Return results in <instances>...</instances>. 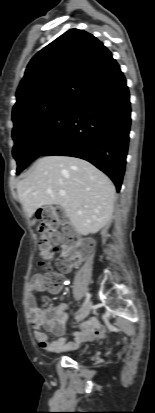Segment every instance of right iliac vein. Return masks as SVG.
<instances>
[{
    "label": "right iliac vein",
    "instance_id": "63e3f726",
    "mask_svg": "<svg viewBox=\"0 0 155 413\" xmlns=\"http://www.w3.org/2000/svg\"><path fill=\"white\" fill-rule=\"evenodd\" d=\"M91 309H92V302L89 301L88 304L86 305V307L81 312V314L77 317V321H81L84 318H86L89 315Z\"/></svg>",
    "mask_w": 155,
    "mask_h": 413
}]
</instances>
